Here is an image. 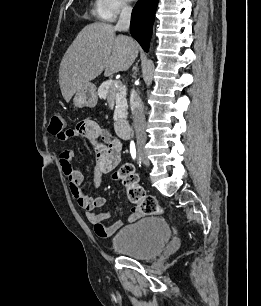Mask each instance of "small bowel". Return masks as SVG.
Returning a JSON list of instances; mask_svg holds the SVG:
<instances>
[{"label": "small bowel", "mask_w": 261, "mask_h": 306, "mask_svg": "<svg viewBox=\"0 0 261 306\" xmlns=\"http://www.w3.org/2000/svg\"><path fill=\"white\" fill-rule=\"evenodd\" d=\"M83 137L89 141L95 150V164L92 172L94 183L112 171L120 162L122 145L119 140L111 139L109 134L94 120H84L75 129H69L64 140ZM74 151L64 150L59 156V163L63 174L69 182L70 191L77 204L85 211L86 218L93 224L94 231L101 238H108L115 234L123 225L117 221L112 225L104 222L111 217L110 212L97 211L103 208L107 201L102 196H90L84 189V176L73 164ZM140 217V211L134 207L131 210L129 221L133 222Z\"/></svg>", "instance_id": "obj_1"}]
</instances>
